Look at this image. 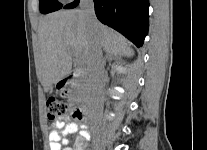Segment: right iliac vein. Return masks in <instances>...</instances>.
I'll use <instances>...</instances> for the list:
<instances>
[{"label":"right iliac vein","mask_w":207,"mask_h":150,"mask_svg":"<svg viewBox=\"0 0 207 150\" xmlns=\"http://www.w3.org/2000/svg\"><path fill=\"white\" fill-rule=\"evenodd\" d=\"M95 150H102V148L100 147V145H96Z\"/></svg>","instance_id":"right-iliac-vein-1"}]
</instances>
